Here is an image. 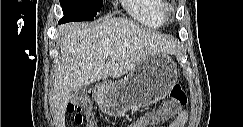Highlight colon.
I'll return each instance as SVG.
<instances>
[{
	"label": "colon",
	"mask_w": 243,
	"mask_h": 127,
	"mask_svg": "<svg viewBox=\"0 0 243 127\" xmlns=\"http://www.w3.org/2000/svg\"><path fill=\"white\" fill-rule=\"evenodd\" d=\"M186 104V95L179 84L174 85L170 90V100L166 104L162 115L165 119L173 117L181 106ZM88 107L84 101L74 102L68 105V112L73 115L76 124L84 121V110ZM156 121V118L154 119Z\"/></svg>",
	"instance_id": "5ec220e1"
}]
</instances>
